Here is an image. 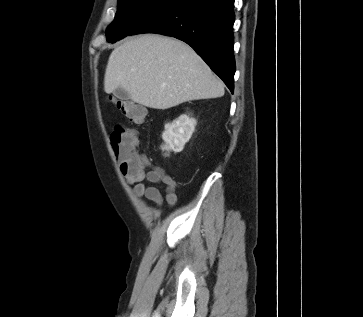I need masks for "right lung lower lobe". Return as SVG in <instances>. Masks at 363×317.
Returning a JSON list of instances; mask_svg holds the SVG:
<instances>
[{
	"label": "right lung lower lobe",
	"instance_id": "1",
	"mask_svg": "<svg viewBox=\"0 0 363 317\" xmlns=\"http://www.w3.org/2000/svg\"><path fill=\"white\" fill-rule=\"evenodd\" d=\"M233 8L234 0H177L129 35L159 33L186 42L233 93Z\"/></svg>",
	"mask_w": 363,
	"mask_h": 317
}]
</instances>
